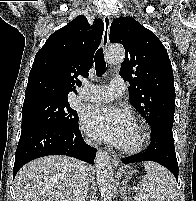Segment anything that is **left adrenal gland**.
<instances>
[{"label":"left adrenal gland","mask_w":196,"mask_h":201,"mask_svg":"<svg viewBox=\"0 0 196 201\" xmlns=\"http://www.w3.org/2000/svg\"><path fill=\"white\" fill-rule=\"evenodd\" d=\"M127 182H128V179L123 180L122 184L120 186L121 194L123 196L124 201L127 199V193L125 191V189L127 188V186H126Z\"/></svg>","instance_id":"left-adrenal-gland-1"}]
</instances>
